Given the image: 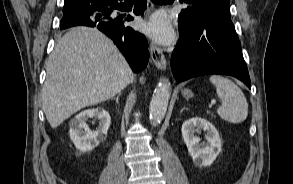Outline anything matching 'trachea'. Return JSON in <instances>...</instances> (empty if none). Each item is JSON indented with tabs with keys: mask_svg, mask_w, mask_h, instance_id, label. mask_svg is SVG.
<instances>
[{
	"mask_svg": "<svg viewBox=\"0 0 293 184\" xmlns=\"http://www.w3.org/2000/svg\"><path fill=\"white\" fill-rule=\"evenodd\" d=\"M153 3H159L161 1H165V0H151Z\"/></svg>",
	"mask_w": 293,
	"mask_h": 184,
	"instance_id": "trachea-1",
	"label": "trachea"
}]
</instances>
